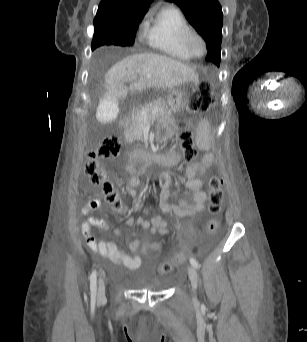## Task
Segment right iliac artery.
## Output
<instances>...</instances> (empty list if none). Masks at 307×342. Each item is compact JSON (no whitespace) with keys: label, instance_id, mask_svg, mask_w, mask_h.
Segmentation results:
<instances>
[{"label":"right iliac artery","instance_id":"1","mask_svg":"<svg viewBox=\"0 0 307 342\" xmlns=\"http://www.w3.org/2000/svg\"><path fill=\"white\" fill-rule=\"evenodd\" d=\"M96 278H97V272L96 270H94L90 276V290H91V297L93 298V304L95 302L96 291H97Z\"/></svg>","mask_w":307,"mask_h":342}]
</instances>
